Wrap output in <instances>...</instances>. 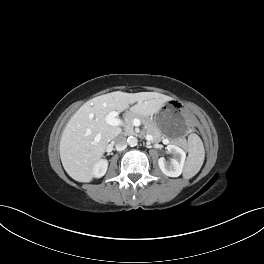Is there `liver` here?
Returning a JSON list of instances; mask_svg holds the SVG:
<instances>
[{
	"label": "liver",
	"instance_id": "liver-1",
	"mask_svg": "<svg viewBox=\"0 0 264 264\" xmlns=\"http://www.w3.org/2000/svg\"><path fill=\"white\" fill-rule=\"evenodd\" d=\"M170 97L156 92H112L83 104L65 127L60 141V158L67 174L78 182H91L93 167L101 160L108 143L121 128L106 122L111 111L122 112L130 104L139 115L158 113Z\"/></svg>",
	"mask_w": 264,
	"mask_h": 264
}]
</instances>
